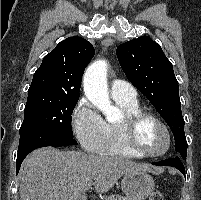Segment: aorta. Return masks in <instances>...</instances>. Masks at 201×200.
<instances>
[{"mask_svg":"<svg viewBox=\"0 0 201 200\" xmlns=\"http://www.w3.org/2000/svg\"><path fill=\"white\" fill-rule=\"evenodd\" d=\"M107 69L108 64L105 60L93 62L85 71L83 87L87 99L110 120L118 110L111 105L109 98Z\"/></svg>","mask_w":201,"mask_h":200,"instance_id":"obj_1","label":"aorta"}]
</instances>
